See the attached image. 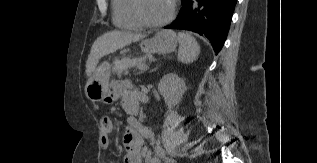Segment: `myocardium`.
<instances>
[{"mask_svg": "<svg viewBox=\"0 0 317 163\" xmlns=\"http://www.w3.org/2000/svg\"><path fill=\"white\" fill-rule=\"evenodd\" d=\"M142 0H132V10L134 13L135 18L138 20V22L143 25L144 27L148 28H160L167 24H169L173 18L175 17L178 9V0H172V7L169 15L157 22L150 21L146 18L144 15L143 9H142Z\"/></svg>", "mask_w": 317, "mask_h": 163, "instance_id": "f54148a6", "label": "myocardium"}]
</instances>
